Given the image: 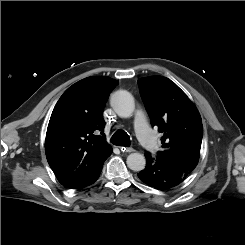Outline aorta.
Instances as JSON below:
<instances>
[{
	"label": "aorta",
	"mask_w": 245,
	"mask_h": 245,
	"mask_svg": "<svg viewBox=\"0 0 245 245\" xmlns=\"http://www.w3.org/2000/svg\"><path fill=\"white\" fill-rule=\"evenodd\" d=\"M111 105L118 116L129 118L132 116L135 103L133 96L125 91H116L111 97ZM127 166L133 171H141L145 168V157L140 153H131L127 157Z\"/></svg>",
	"instance_id": "obj_1"
}]
</instances>
